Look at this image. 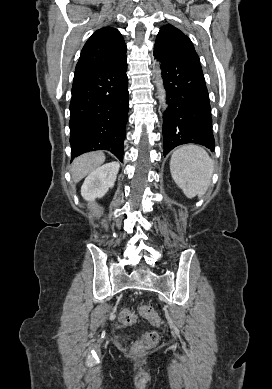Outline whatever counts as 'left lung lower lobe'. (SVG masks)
Masks as SVG:
<instances>
[{
  "label": "left lung lower lobe",
  "instance_id": "left-lung-lower-lobe-1",
  "mask_svg": "<svg viewBox=\"0 0 272 389\" xmlns=\"http://www.w3.org/2000/svg\"><path fill=\"white\" fill-rule=\"evenodd\" d=\"M154 55L161 63L168 103L163 117L164 155L186 143L214 151L209 95L200 63L172 59L156 50Z\"/></svg>",
  "mask_w": 272,
  "mask_h": 389
}]
</instances>
